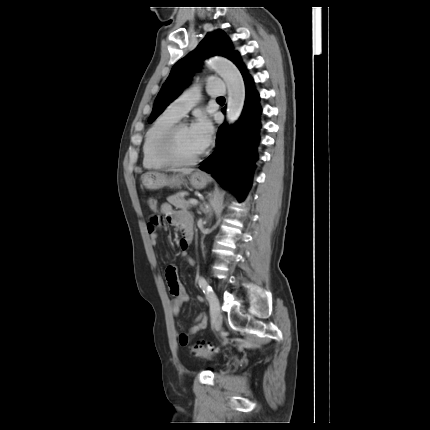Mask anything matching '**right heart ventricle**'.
<instances>
[{"mask_svg": "<svg viewBox=\"0 0 430 430\" xmlns=\"http://www.w3.org/2000/svg\"><path fill=\"white\" fill-rule=\"evenodd\" d=\"M180 117L165 110L160 114L151 126L147 129L142 145V163L146 169H163L170 164L165 162L157 153V145L161 136L175 123Z\"/></svg>", "mask_w": 430, "mask_h": 430, "instance_id": "obj_1", "label": "right heart ventricle"}]
</instances>
